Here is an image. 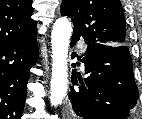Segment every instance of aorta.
I'll list each match as a JSON object with an SVG mask.
<instances>
[{
	"instance_id": "aorta-1",
	"label": "aorta",
	"mask_w": 142,
	"mask_h": 119,
	"mask_svg": "<svg viewBox=\"0 0 142 119\" xmlns=\"http://www.w3.org/2000/svg\"><path fill=\"white\" fill-rule=\"evenodd\" d=\"M71 34V22L66 17L58 18L53 24L51 34L52 77L50 103L52 106L61 104L67 92V59Z\"/></svg>"
}]
</instances>
